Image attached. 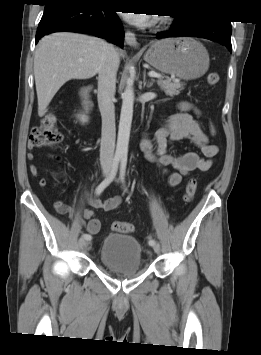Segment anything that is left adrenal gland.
Instances as JSON below:
<instances>
[{
	"label": "left adrenal gland",
	"instance_id": "obj_1",
	"mask_svg": "<svg viewBox=\"0 0 261 355\" xmlns=\"http://www.w3.org/2000/svg\"><path fill=\"white\" fill-rule=\"evenodd\" d=\"M152 85H153V82L152 81H146V73H145V71H144V74H143V87L145 88H147V89H150L151 87H152Z\"/></svg>",
	"mask_w": 261,
	"mask_h": 355
}]
</instances>
